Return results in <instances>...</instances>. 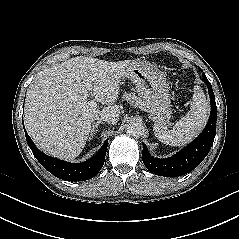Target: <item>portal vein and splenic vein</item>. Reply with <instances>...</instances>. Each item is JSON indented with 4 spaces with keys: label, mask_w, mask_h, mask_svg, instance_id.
<instances>
[{
    "label": "portal vein and splenic vein",
    "mask_w": 239,
    "mask_h": 239,
    "mask_svg": "<svg viewBox=\"0 0 239 239\" xmlns=\"http://www.w3.org/2000/svg\"><path fill=\"white\" fill-rule=\"evenodd\" d=\"M85 85H86V87L88 88V90H91V84H90V83H85ZM89 105H90L91 107H97V104H96V102H95L94 100H91V101L89 102Z\"/></svg>",
    "instance_id": "portal-vein-and-splenic-vein-1"
}]
</instances>
